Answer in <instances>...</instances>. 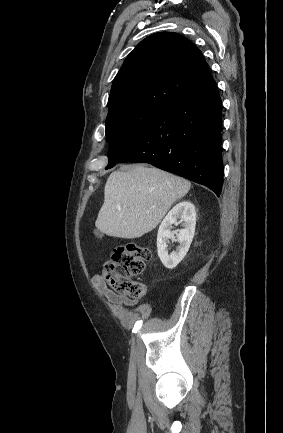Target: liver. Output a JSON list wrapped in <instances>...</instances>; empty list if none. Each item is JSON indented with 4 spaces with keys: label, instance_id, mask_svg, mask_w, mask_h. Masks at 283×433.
I'll return each mask as SVG.
<instances>
[{
    "label": "liver",
    "instance_id": "1",
    "mask_svg": "<svg viewBox=\"0 0 283 433\" xmlns=\"http://www.w3.org/2000/svg\"><path fill=\"white\" fill-rule=\"evenodd\" d=\"M190 186L189 180L154 166L136 164L126 172L114 170L106 180L95 227L109 237L138 239L159 225Z\"/></svg>",
    "mask_w": 283,
    "mask_h": 433
}]
</instances>
